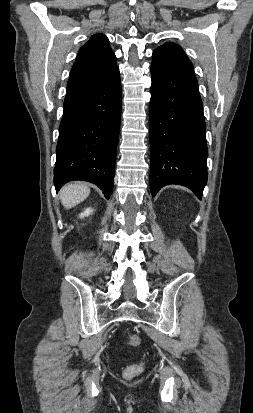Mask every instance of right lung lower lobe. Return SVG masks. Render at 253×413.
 I'll return each instance as SVG.
<instances>
[{"label":"right lung lower lobe","mask_w":253,"mask_h":413,"mask_svg":"<svg viewBox=\"0 0 253 413\" xmlns=\"http://www.w3.org/2000/svg\"><path fill=\"white\" fill-rule=\"evenodd\" d=\"M121 107L118 68L95 89L64 101L54 169L57 191L69 181L84 180L96 184L110 198Z\"/></svg>","instance_id":"right-lung-lower-lobe-1"}]
</instances>
